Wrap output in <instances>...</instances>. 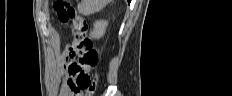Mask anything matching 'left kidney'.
I'll use <instances>...</instances> for the list:
<instances>
[{"mask_svg": "<svg viewBox=\"0 0 232 96\" xmlns=\"http://www.w3.org/2000/svg\"><path fill=\"white\" fill-rule=\"evenodd\" d=\"M108 22L104 20L96 21L94 23L93 31L90 33V37L93 39H99L104 36L106 32Z\"/></svg>", "mask_w": 232, "mask_h": 96, "instance_id": "5707ae66", "label": "left kidney"}]
</instances>
